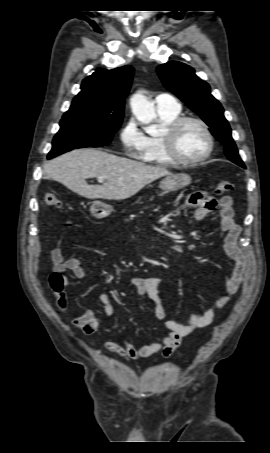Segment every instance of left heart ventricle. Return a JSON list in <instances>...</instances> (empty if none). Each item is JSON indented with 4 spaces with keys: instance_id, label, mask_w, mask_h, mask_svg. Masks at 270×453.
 Listing matches in <instances>:
<instances>
[{
    "instance_id": "obj_1",
    "label": "left heart ventricle",
    "mask_w": 270,
    "mask_h": 453,
    "mask_svg": "<svg viewBox=\"0 0 270 453\" xmlns=\"http://www.w3.org/2000/svg\"><path fill=\"white\" fill-rule=\"evenodd\" d=\"M175 148L184 158H196L207 149V139L202 128L196 123H186L179 130Z\"/></svg>"
}]
</instances>
